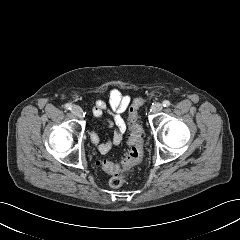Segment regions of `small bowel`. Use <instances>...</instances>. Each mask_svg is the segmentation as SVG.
<instances>
[{"instance_id":"1","label":"small bowel","mask_w":240,"mask_h":240,"mask_svg":"<svg viewBox=\"0 0 240 240\" xmlns=\"http://www.w3.org/2000/svg\"><path fill=\"white\" fill-rule=\"evenodd\" d=\"M130 104V97L125 95L118 88H112L109 91L108 104L103 100H96L93 107V115L101 118L106 110L109 111L111 117L108 125L113 128L112 136L109 140L102 142L97 132L90 134V141L95 145L101 154H107L114 146H118L126 131V122L122 114L126 111Z\"/></svg>"}]
</instances>
